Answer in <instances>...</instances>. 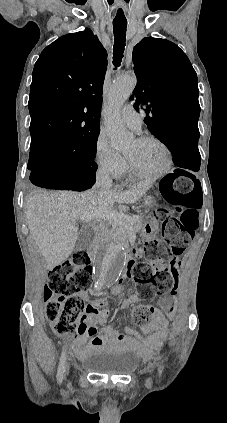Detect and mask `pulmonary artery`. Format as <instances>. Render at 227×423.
<instances>
[{
  "instance_id": "obj_1",
  "label": "pulmonary artery",
  "mask_w": 227,
  "mask_h": 423,
  "mask_svg": "<svg viewBox=\"0 0 227 423\" xmlns=\"http://www.w3.org/2000/svg\"><path fill=\"white\" fill-rule=\"evenodd\" d=\"M142 115H140L136 110L133 108L131 104H126L120 113V118L123 123L135 130L136 132H140L142 126Z\"/></svg>"
}]
</instances>
